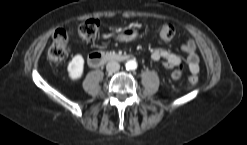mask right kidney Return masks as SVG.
<instances>
[{
	"label": "right kidney",
	"mask_w": 247,
	"mask_h": 145,
	"mask_svg": "<svg viewBox=\"0 0 247 145\" xmlns=\"http://www.w3.org/2000/svg\"><path fill=\"white\" fill-rule=\"evenodd\" d=\"M84 70V58L82 55L77 54L73 57L71 62L68 64L67 71L69 77L72 80H78L82 77Z\"/></svg>",
	"instance_id": "obj_1"
}]
</instances>
